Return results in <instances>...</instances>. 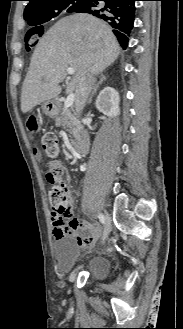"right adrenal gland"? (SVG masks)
Masks as SVG:
<instances>
[{
    "mask_svg": "<svg viewBox=\"0 0 183 329\" xmlns=\"http://www.w3.org/2000/svg\"><path fill=\"white\" fill-rule=\"evenodd\" d=\"M99 78H100L99 82L94 86V88L90 94V97L88 99V104H90L92 102V98H93L94 94L97 92L99 85H101L103 83V81L106 80V77L103 74H100Z\"/></svg>",
    "mask_w": 183,
    "mask_h": 329,
    "instance_id": "obj_1",
    "label": "right adrenal gland"
}]
</instances>
